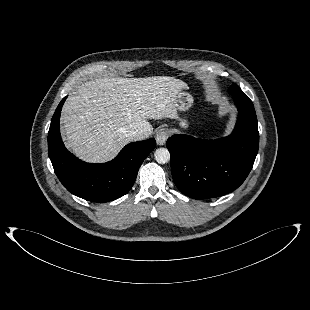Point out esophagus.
Wrapping results in <instances>:
<instances>
[{"label":"esophagus","mask_w":310,"mask_h":310,"mask_svg":"<svg viewBox=\"0 0 310 310\" xmlns=\"http://www.w3.org/2000/svg\"><path fill=\"white\" fill-rule=\"evenodd\" d=\"M169 137V132L167 129H160L156 133V142L158 145H164L167 138Z\"/></svg>","instance_id":"34e87169"}]
</instances>
